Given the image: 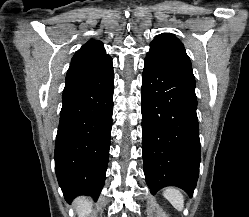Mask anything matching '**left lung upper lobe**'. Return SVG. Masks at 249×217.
<instances>
[{"mask_svg":"<svg viewBox=\"0 0 249 217\" xmlns=\"http://www.w3.org/2000/svg\"><path fill=\"white\" fill-rule=\"evenodd\" d=\"M145 63L194 78L184 45L171 33H162L151 42Z\"/></svg>","mask_w":249,"mask_h":217,"instance_id":"1","label":"left lung upper lobe"}]
</instances>
